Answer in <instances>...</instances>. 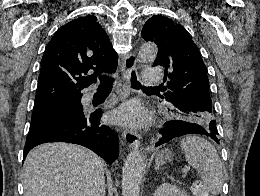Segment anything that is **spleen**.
<instances>
[{"instance_id":"1","label":"spleen","mask_w":260,"mask_h":196,"mask_svg":"<svg viewBox=\"0 0 260 196\" xmlns=\"http://www.w3.org/2000/svg\"><path fill=\"white\" fill-rule=\"evenodd\" d=\"M180 148L185 154L189 166L197 170L201 180L209 188L213 196L220 194L223 188L224 176L218 152L210 142L200 136H186L180 142ZM162 162L161 156L156 160L157 170Z\"/></svg>"}]
</instances>
